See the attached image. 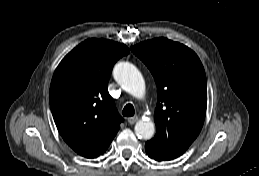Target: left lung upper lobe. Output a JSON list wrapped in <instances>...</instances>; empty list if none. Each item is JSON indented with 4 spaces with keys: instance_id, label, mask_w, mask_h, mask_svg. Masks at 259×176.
<instances>
[{
    "instance_id": "5c2ea615",
    "label": "left lung upper lobe",
    "mask_w": 259,
    "mask_h": 176,
    "mask_svg": "<svg viewBox=\"0 0 259 176\" xmlns=\"http://www.w3.org/2000/svg\"><path fill=\"white\" fill-rule=\"evenodd\" d=\"M149 68L157 85L155 137L145 150L162 159L182 155L200 133L207 108L203 65L187 46L156 38L131 47Z\"/></svg>"
}]
</instances>
